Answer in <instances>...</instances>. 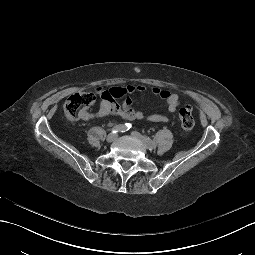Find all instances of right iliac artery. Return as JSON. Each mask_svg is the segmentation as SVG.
<instances>
[{
    "mask_svg": "<svg viewBox=\"0 0 255 255\" xmlns=\"http://www.w3.org/2000/svg\"><path fill=\"white\" fill-rule=\"evenodd\" d=\"M131 128V124L125 123L121 125L114 126L111 131L112 133H117V132H125Z\"/></svg>",
    "mask_w": 255,
    "mask_h": 255,
    "instance_id": "1",
    "label": "right iliac artery"
}]
</instances>
